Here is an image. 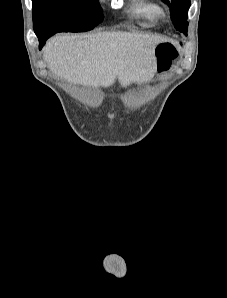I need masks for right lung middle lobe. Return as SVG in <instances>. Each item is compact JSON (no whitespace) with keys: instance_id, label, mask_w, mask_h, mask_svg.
<instances>
[{"instance_id":"1","label":"right lung middle lobe","mask_w":227,"mask_h":298,"mask_svg":"<svg viewBox=\"0 0 227 298\" xmlns=\"http://www.w3.org/2000/svg\"><path fill=\"white\" fill-rule=\"evenodd\" d=\"M35 34L85 32L103 19L97 0H32Z\"/></svg>"}]
</instances>
